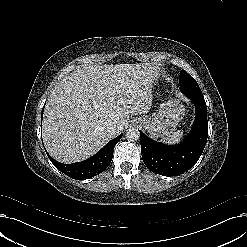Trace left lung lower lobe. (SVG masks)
<instances>
[{"mask_svg":"<svg viewBox=\"0 0 247 247\" xmlns=\"http://www.w3.org/2000/svg\"><path fill=\"white\" fill-rule=\"evenodd\" d=\"M196 108V117L188 137L180 144L168 146L148 138L140 132L144 164L154 173L176 176L193 167L200 158L208 137L207 107L197 85L180 87Z\"/></svg>","mask_w":247,"mask_h":247,"instance_id":"1","label":"left lung lower lobe"}]
</instances>
